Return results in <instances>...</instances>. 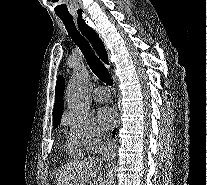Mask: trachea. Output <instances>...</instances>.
<instances>
[{
  "label": "trachea",
  "instance_id": "trachea-1",
  "mask_svg": "<svg viewBox=\"0 0 207 185\" xmlns=\"http://www.w3.org/2000/svg\"><path fill=\"white\" fill-rule=\"evenodd\" d=\"M59 18L64 23L66 30L72 40L78 45L81 49L83 55L85 56L88 64L90 65L91 70L97 75V77L102 80V82L107 83V85H113V80L108 72L107 68L104 66L103 62H107V52L104 47L103 42L98 37L97 33L90 28L85 22L83 24V29L80 32L77 30L76 25L71 18L61 17ZM86 37V38H85ZM99 58L95 55L93 49L90 46V43ZM102 60V61H101Z\"/></svg>",
  "mask_w": 207,
  "mask_h": 185
}]
</instances>
